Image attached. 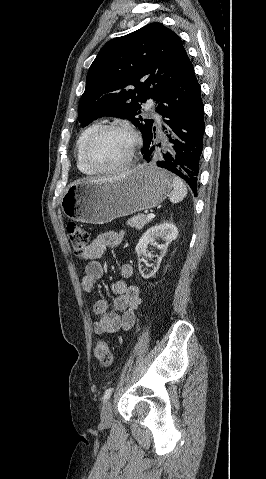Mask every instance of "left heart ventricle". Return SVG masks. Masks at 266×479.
Listing matches in <instances>:
<instances>
[{"label": "left heart ventricle", "instance_id": "b2bd125f", "mask_svg": "<svg viewBox=\"0 0 266 479\" xmlns=\"http://www.w3.org/2000/svg\"><path fill=\"white\" fill-rule=\"evenodd\" d=\"M132 145V138L123 131L110 130L95 141L91 150V160L99 168L114 167L123 162Z\"/></svg>", "mask_w": 266, "mask_h": 479}]
</instances>
